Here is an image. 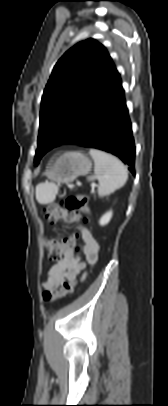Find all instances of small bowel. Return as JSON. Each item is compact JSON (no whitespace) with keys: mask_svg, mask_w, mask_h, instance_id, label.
Wrapping results in <instances>:
<instances>
[{"mask_svg":"<svg viewBox=\"0 0 168 406\" xmlns=\"http://www.w3.org/2000/svg\"><path fill=\"white\" fill-rule=\"evenodd\" d=\"M79 231L84 242L87 262L93 265L98 259L99 245L87 228L80 227ZM84 267L85 263L75 258L73 248L67 247L50 267L42 286L44 289L56 290L63 283L76 280Z\"/></svg>","mask_w":168,"mask_h":406,"instance_id":"1","label":"small bowel"}]
</instances>
